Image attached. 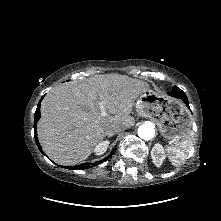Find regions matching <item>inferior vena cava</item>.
Here are the masks:
<instances>
[{"label":"inferior vena cava","instance_id":"602c4592","mask_svg":"<svg viewBox=\"0 0 221 221\" xmlns=\"http://www.w3.org/2000/svg\"><path fill=\"white\" fill-rule=\"evenodd\" d=\"M124 129H126L125 126L111 124V125L106 126L105 132H106V134H112V133L120 132Z\"/></svg>","mask_w":221,"mask_h":221}]
</instances>
